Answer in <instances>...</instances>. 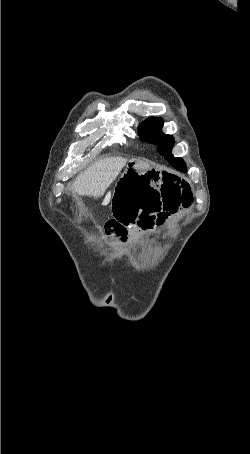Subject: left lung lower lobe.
<instances>
[{"mask_svg":"<svg viewBox=\"0 0 250 454\" xmlns=\"http://www.w3.org/2000/svg\"><path fill=\"white\" fill-rule=\"evenodd\" d=\"M172 166L182 172H187L184 161L181 158H176L174 160L168 161Z\"/></svg>","mask_w":250,"mask_h":454,"instance_id":"0a47b994","label":"left lung lower lobe"}]
</instances>
